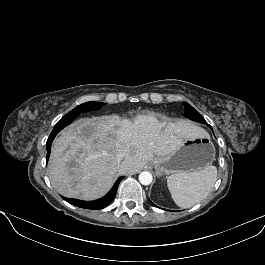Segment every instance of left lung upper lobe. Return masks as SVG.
<instances>
[{
  "label": "left lung upper lobe",
  "mask_w": 265,
  "mask_h": 265,
  "mask_svg": "<svg viewBox=\"0 0 265 265\" xmlns=\"http://www.w3.org/2000/svg\"><path fill=\"white\" fill-rule=\"evenodd\" d=\"M185 106V116L191 120L198 122H206L200 113H198L191 105L184 102Z\"/></svg>",
  "instance_id": "1"
}]
</instances>
